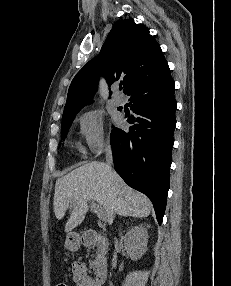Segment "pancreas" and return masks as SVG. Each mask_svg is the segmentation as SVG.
Returning a JSON list of instances; mask_svg holds the SVG:
<instances>
[{"mask_svg": "<svg viewBox=\"0 0 231 286\" xmlns=\"http://www.w3.org/2000/svg\"><path fill=\"white\" fill-rule=\"evenodd\" d=\"M94 242L96 243L98 250L95 255V260L91 261L89 264L91 269H96L97 267H99V265L106 262L105 253H106L107 245L105 244V240L99 239L96 236L94 237Z\"/></svg>", "mask_w": 231, "mask_h": 286, "instance_id": "obj_1", "label": "pancreas"}]
</instances>
